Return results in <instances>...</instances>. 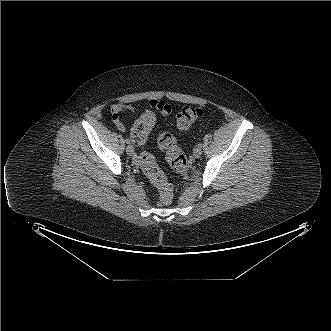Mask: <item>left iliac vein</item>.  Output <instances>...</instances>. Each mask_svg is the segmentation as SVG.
Masks as SVG:
<instances>
[{
  "instance_id": "left-iliac-vein-1",
  "label": "left iliac vein",
  "mask_w": 331,
  "mask_h": 331,
  "mask_svg": "<svg viewBox=\"0 0 331 331\" xmlns=\"http://www.w3.org/2000/svg\"><path fill=\"white\" fill-rule=\"evenodd\" d=\"M193 155H194V157L199 158V157L202 155V150H201V148L197 146V147L193 150Z\"/></svg>"
}]
</instances>
